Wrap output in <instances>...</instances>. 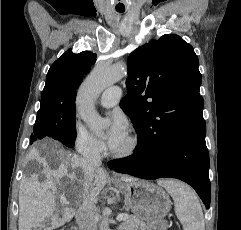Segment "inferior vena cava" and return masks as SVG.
<instances>
[{
  "instance_id": "obj_1",
  "label": "inferior vena cava",
  "mask_w": 241,
  "mask_h": 230,
  "mask_svg": "<svg viewBox=\"0 0 241 230\" xmlns=\"http://www.w3.org/2000/svg\"><path fill=\"white\" fill-rule=\"evenodd\" d=\"M101 165V157L98 153L89 152L84 154L82 161V171L87 187L93 181V174L97 167ZM97 209L93 200L86 196L82 205L76 212V221L80 230H97Z\"/></svg>"
}]
</instances>
